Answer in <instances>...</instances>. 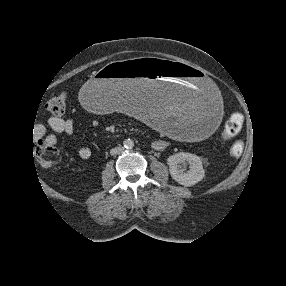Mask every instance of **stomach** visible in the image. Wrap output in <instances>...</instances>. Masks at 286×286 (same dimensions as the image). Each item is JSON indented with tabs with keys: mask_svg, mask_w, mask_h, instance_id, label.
<instances>
[{
	"mask_svg": "<svg viewBox=\"0 0 286 286\" xmlns=\"http://www.w3.org/2000/svg\"><path fill=\"white\" fill-rule=\"evenodd\" d=\"M81 106L106 115L117 107L156 132L189 143L216 137L227 120L219 88L178 61L113 62L79 91Z\"/></svg>",
	"mask_w": 286,
	"mask_h": 286,
	"instance_id": "1",
	"label": "stomach"
}]
</instances>
